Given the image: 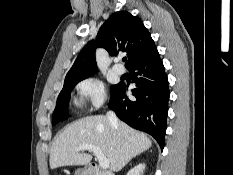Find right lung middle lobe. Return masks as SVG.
<instances>
[{"label":"right lung middle lobe","mask_w":233,"mask_h":175,"mask_svg":"<svg viewBox=\"0 0 233 175\" xmlns=\"http://www.w3.org/2000/svg\"><path fill=\"white\" fill-rule=\"evenodd\" d=\"M83 79H85V78L64 81L63 89L58 96L56 108H55L54 113H53V118H52L53 125H55L58 121H63L69 117L67 106H68V102L70 100L71 91H72L73 87L79 81H81ZM116 88H117V85L111 86V95L114 93Z\"/></svg>","instance_id":"right-lung-middle-lobe-1"}]
</instances>
